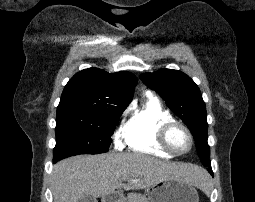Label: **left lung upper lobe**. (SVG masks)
<instances>
[{
    "instance_id": "1",
    "label": "left lung upper lobe",
    "mask_w": 255,
    "mask_h": 202,
    "mask_svg": "<svg viewBox=\"0 0 255 202\" xmlns=\"http://www.w3.org/2000/svg\"><path fill=\"white\" fill-rule=\"evenodd\" d=\"M145 85L158 92L167 106L188 126L196 142L200 160L210 164L207 143L206 106L194 81L178 70L162 69L140 76Z\"/></svg>"
}]
</instances>
